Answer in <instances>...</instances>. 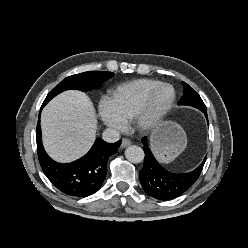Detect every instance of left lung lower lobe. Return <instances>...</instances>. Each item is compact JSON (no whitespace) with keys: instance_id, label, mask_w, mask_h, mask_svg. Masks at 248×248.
Listing matches in <instances>:
<instances>
[{"instance_id":"0a47b994","label":"left lung lower lobe","mask_w":248,"mask_h":248,"mask_svg":"<svg viewBox=\"0 0 248 248\" xmlns=\"http://www.w3.org/2000/svg\"><path fill=\"white\" fill-rule=\"evenodd\" d=\"M208 120L207 110L201 109ZM145 152L144 165L140 171V183L144 191L153 198L169 200L176 198L187 191L198 179L202 172L203 162L192 172L175 174L165 170L154 158L148 148L146 137L142 139Z\"/></svg>"}]
</instances>
